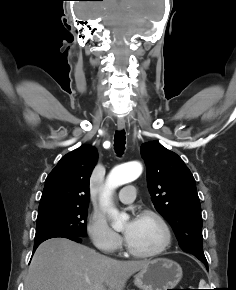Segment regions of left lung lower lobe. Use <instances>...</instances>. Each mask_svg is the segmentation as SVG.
<instances>
[{
  "label": "left lung lower lobe",
  "instance_id": "0a47b994",
  "mask_svg": "<svg viewBox=\"0 0 236 290\" xmlns=\"http://www.w3.org/2000/svg\"><path fill=\"white\" fill-rule=\"evenodd\" d=\"M201 261V260H200ZM204 264H205V266H206V268H208V264H207V262H205V261H202Z\"/></svg>",
  "mask_w": 236,
  "mask_h": 290
}]
</instances>
